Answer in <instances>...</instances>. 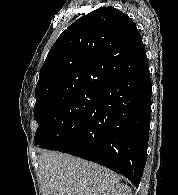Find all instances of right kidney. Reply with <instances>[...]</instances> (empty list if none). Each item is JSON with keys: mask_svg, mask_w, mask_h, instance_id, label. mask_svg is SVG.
<instances>
[{"mask_svg": "<svg viewBox=\"0 0 178 195\" xmlns=\"http://www.w3.org/2000/svg\"><path fill=\"white\" fill-rule=\"evenodd\" d=\"M103 195H132L131 189L125 184H116L106 190Z\"/></svg>", "mask_w": 178, "mask_h": 195, "instance_id": "obj_1", "label": "right kidney"}]
</instances>
